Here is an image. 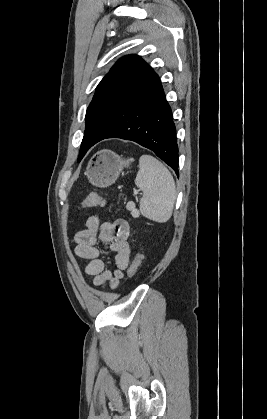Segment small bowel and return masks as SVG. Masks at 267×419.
<instances>
[{"instance_id":"obj_1","label":"small bowel","mask_w":267,"mask_h":419,"mask_svg":"<svg viewBox=\"0 0 267 419\" xmlns=\"http://www.w3.org/2000/svg\"><path fill=\"white\" fill-rule=\"evenodd\" d=\"M130 227L126 220L117 219L113 222L100 223L97 216H91L86 228L75 236V254L89 260L84 268L86 275L93 276V285L97 287L115 288L123 277L130 259L128 237ZM97 240L112 253L113 268L107 267L101 258L102 250L97 247Z\"/></svg>"}]
</instances>
